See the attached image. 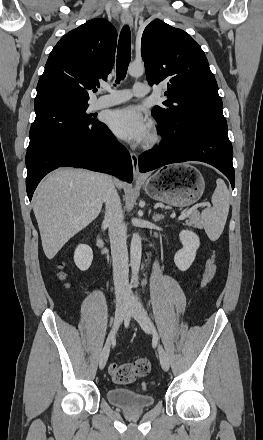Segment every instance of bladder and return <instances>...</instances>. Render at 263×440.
<instances>
[{
	"label": "bladder",
	"mask_w": 263,
	"mask_h": 440,
	"mask_svg": "<svg viewBox=\"0 0 263 440\" xmlns=\"http://www.w3.org/2000/svg\"><path fill=\"white\" fill-rule=\"evenodd\" d=\"M107 400L125 411H139L150 408L155 398L150 393L136 392L130 388H109Z\"/></svg>",
	"instance_id": "bladder-1"
}]
</instances>
